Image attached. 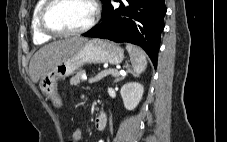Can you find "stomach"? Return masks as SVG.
<instances>
[{"label": "stomach", "mask_w": 227, "mask_h": 142, "mask_svg": "<svg viewBox=\"0 0 227 142\" xmlns=\"http://www.w3.org/2000/svg\"><path fill=\"white\" fill-rule=\"evenodd\" d=\"M124 52L116 44L99 39H92L82 45L74 54L59 60L40 79L41 91L56 105L60 104L57 81L72 75L85 64L110 63L120 64Z\"/></svg>", "instance_id": "0dacf381"}]
</instances>
